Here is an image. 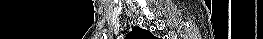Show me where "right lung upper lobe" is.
Masks as SVG:
<instances>
[{
  "label": "right lung upper lobe",
  "mask_w": 263,
  "mask_h": 39,
  "mask_svg": "<svg viewBox=\"0 0 263 39\" xmlns=\"http://www.w3.org/2000/svg\"><path fill=\"white\" fill-rule=\"evenodd\" d=\"M130 39H151L153 38L152 34L147 31L143 30L139 27H135L129 34Z\"/></svg>",
  "instance_id": "obj_1"
}]
</instances>
